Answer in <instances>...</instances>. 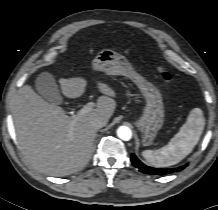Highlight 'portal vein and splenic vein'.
Here are the masks:
<instances>
[{"mask_svg": "<svg viewBox=\"0 0 218 210\" xmlns=\"http://www.w3.org/2000/svg\"><path fill=\"white\" fill-rule=\"evenodd\" d=\"M94 107V103L93 102H89L87 103L85 106H83V108H81L76 115H74L75 119H79L80 117L86 115L87 113L91 112L93 110Z\"/></svg>", "mask_w": 218, "mask_h": 210, "instance_id": "1", "label": "portal vein and splenic vein"}]
</instances>
